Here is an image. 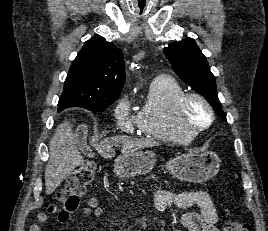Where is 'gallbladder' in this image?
I'll return each mask as SVG.
<instances>
[{"mask_svg": "<svg viewBox=\"0 0 268 231\" xmlns=\"http://www.w3.org/2000/svg\"><path fill=\"white\" fill-rule=\"evenodd\" d=\"M78 146H79L80 150H81L84 154H86V155H90V154H91V151L85 147V145L83 144L82 141L79 142Z\"/></svg>", "mask_w": 268, "mask_h": 231, "instance_id": "bac80fb5", "label": "gallbladder"}]
</instances>
